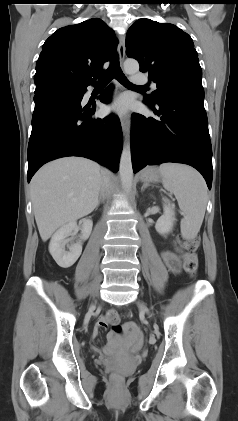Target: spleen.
I'll return each instance as SVG.
<instances>
[{
	"label": "spleen",
	"mask_w": 238,
	"mask_h": 421,
	"mask_svg": "<svg viewBox=\"0 0 238 421\" xmlns=\"http://www.w3.org/2000/svg\"><path fill=\"white\" fill-rule=\"evenodd\" d=\"M159 171L164 188L175 195L183 212V236L195 237L202 225L208 199L203 177L194 168L176 163L161 164Z\"/></svg>",
	"instance_id": "1"
}]
</instances>
